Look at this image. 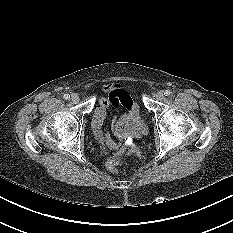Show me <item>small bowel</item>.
Returning a JSON list of instances; mask_svg holds the SVG:
<instances>
[{
  "instance_id": "1",
  "label": "small bowel",
  "mask_w": 233,
  "mask_h": 233,
  "mask_svg": "<svg viewBox=\"0 0 233 233\" xmlns=\"http://www.w3.org/2000/svg\"><path fill=\"white\" fill-rule=\"evenodd\" d=\"M103 91L108 93L107 97H100L98 104L94 110L92 117V126L97 138L104 142V120L110 108L125 107L131 113L138 114V106L133 101L131 96L118 86L106 84L103 86ZM107 146L111 149H118V145L113 141H107ZM124 150V149H123Z\"/></svg>"
}]
</instances>
